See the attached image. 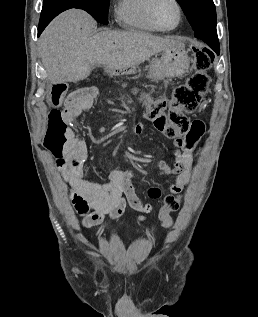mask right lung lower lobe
<instances>
[{
	"mask_svg": "<svg viewBox=\"0 0 258 317\" xmlns=\"http://www.w3.org/2000/svg\"><path fill=\"white\" fill-rule=\"evenodd\" d=\"M70 8L82 9L90 15H94V11L89 6L88 0H44L38 26V36L54 17Z\"/></svg>",
	"mask_w": 258,
	"mask_h": 317,
	"instance_id": "obj_1",
	"label": "right lung lower lobe"
}]
</instances>
